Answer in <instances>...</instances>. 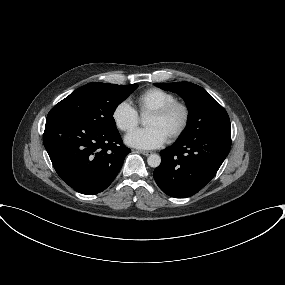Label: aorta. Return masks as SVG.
<instances>
[{
    "label": "aorta",
    "instance_id": "1",
    "mask_svg": "<svg viewBox=\"0 0 285 285\" xmlns=\"http://www.w3.org/2000/svg\"><path fill=\"white\" fill-rule=\"evenodd\" d=\"M147 163L150 167L156 168L161 163V157L157 154H151L147 158Z\"/></svg>",
    "mask_w": 285,
    "mask_h": 285
}]
</instances>
